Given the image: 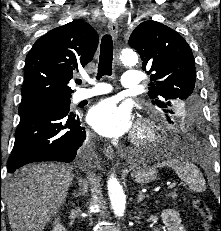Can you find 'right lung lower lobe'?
<instances>
[{"instance_id": "98d812e1", "label": "right lung lower lobe", "mask_w": 221, "mask_h": 231, "mask_svg": "<svg viewBox=\"0 0 221 231\" xmlns=\"http://www.w3.org/2000/svg\"><path fill=\"white\" fill-rule=\"evenodd\" d=\"M86 138L80 118L69 107L44 105L20 113L7 172L32 162H71Z\"/></svg>"}]
</instances>
